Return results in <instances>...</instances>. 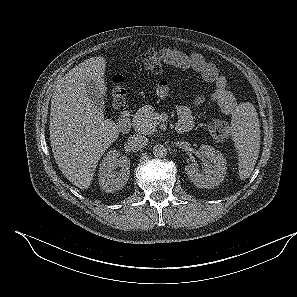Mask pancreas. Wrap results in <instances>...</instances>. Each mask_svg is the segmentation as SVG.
<instances>
[{
    "label": "pancreas",
    "instance_id": "cf45deb5",
    "mask_svg": "<svg viewBox=\"0 0 297 297\" xmlns=\"http://www.w3.org/2000/svg\"><path fill=\"white\" fill-rule=\"evenodd\" d=\"M158 113L154 112V109L150 105H144L141 107L133 117L132 126L135 131L151 135L154 134L157 130L158 120L156 117Z\"/></svg>",
    "mask_w": 297,
    "mask_h": 297
}]
</instances>
